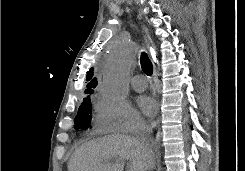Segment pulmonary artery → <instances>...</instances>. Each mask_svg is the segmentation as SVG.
Instances as JSON below:
<instances>
[{
    "mask_svg": "<svg viewBox=\"0 0 245 171\" xmlns=\"http://www.w3.org/2000/svg\"><path fill=\"white\" fill-rule=\"evenodd\" d=\"M131 86L135 91H144L147 87L146 79L142 75H135L131 79Z\"/></svg>",
    "mask_w": 245,
    "mask_h": 171,
    "instance_id": "pulmonary-artery-1",
    "label": "pulmonary artery"
}]
</instances>
